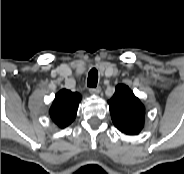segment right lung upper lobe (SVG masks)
Segmentation results:
<instances>
[{
  "instance_id": "right-lung-upper-lobe-1",
  "label": "right lung upper lobe",
  "mask_w": 184,
  "mask_h": 174,
  "mask_svg": "<svg viewBox=\"0 0 184 174\" xmlns=\"http://www.w3.org/2000/svg\"><path fill=\"white\" fill-rule=\"evenodd\" d=\"M81 95L67 89L60 90L56 95L49 110L52 121L60 128H65L76 117Z\"/></svg>"
}]
</instances>
